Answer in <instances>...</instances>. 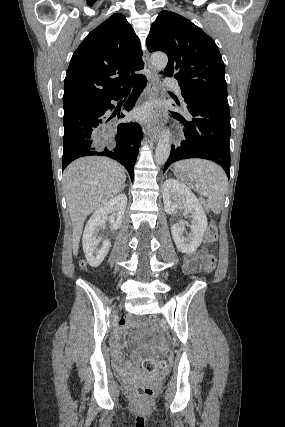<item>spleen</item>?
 <instances>
[{
  "label": "spleen",
  "mask_w": 285,
  "mask_h": 427,
  "mask_svg": "<svg viewBox=\"0 0 285 427\" xmlns=\"http://www.w3.org/2000/svg\"><path fill=\"white\" fill-rule=\"evenodd\" d=\"M176 171L186 169L195 179L196 186L208 197L210 209L221 212L228 179L223 169L213 162L199 159L179 161L174 166Z\"/></svg>",
  "instance_id": "3e777b00"
}]
</instances>
